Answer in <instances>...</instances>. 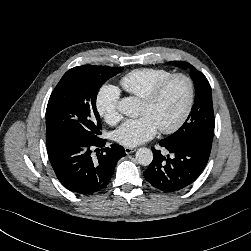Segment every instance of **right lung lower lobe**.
I'll return each mask as SVG.
<instances>
[{"label": "right lung lower lobe", "mask_w": 251, "mask_h": 251, "mask_svg": "<svg viewBox=\"0 0 251 251\" xmlns=\"http://www.w3.org/2000/svg\"><path fill=\"white\" fill-rule=\"evenodd\" d=\"M106 139L78 135L63 136L47 145L52 168L68 190L81 194L97 193L109 184L118 160L126 155L118 144L105 146ZM96 149L97 158L92 155Z\"/></svg>", "instance_id": "right-lung-lower-lobe-1"}]
</instances>
